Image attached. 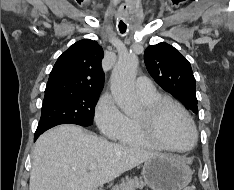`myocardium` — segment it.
<instances>
[{"mask_svg": "<svg viewBox=\"0 0 234 190\" xmlns=\"http://www.w3.org/2000/svg\"><path fill=\"white\" fill-rule=\"evenodd\" d=\"M167 108L177 109L187 119L193 132V141L188 147L178 148L171 146L166 143L165 140L160 136L159 123L163 112ZM137 119L146 136L160 148L175 152H187L194 148L197 143L198 132L192 116L180 103L169 97L161 96L151 103L145 105L141 113L137 116Z\"/></svg>", "mask_w": 234, "mask_h": 190, "instance_id": "obj_1", "label": "myocardium"}]
</instances>
